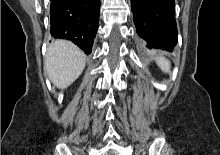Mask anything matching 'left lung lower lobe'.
Listing matches in <instances>:
<instances>
[{
	"label": "left lung lower lobe",
	"instance_id": "obj_1",
	"mask_svg": "<svg viewBox=\"0 0 220 155\" xmlns=\"http://www.w3.org/2000/svg\"><path fill=\"white\" fill-rule=\"evenodd\" d=\"M142 46L171 51L178 41L174 0H131Z\"/></svg>",
	"mask_w": 220,
	"mask_h": 155
}]
</instances>
